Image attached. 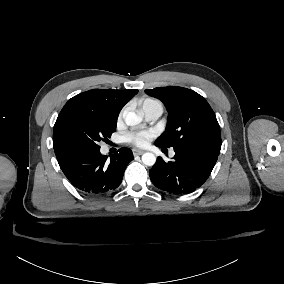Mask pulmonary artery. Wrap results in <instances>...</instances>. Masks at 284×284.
I'll list each match as a JSON object with an SVG mask.
<instances>
[{
  "instance_id": "e3ab8cb5",
  "label": "pulmonary artery",
  "mask_w": 284,
  "mask_h": 284,
  "mask_svg": "<svg viewBox=\"0 0 284 284\" xmlns=\"http://www.w3.org/2000/svg\"><path fill=\"white\" fill-rule=\"evenodd\" d=\"M142 112L147 122L154 123L162 115L163 105L159 100H150L142 106Z\"/></svg>"
}]
</instances>
